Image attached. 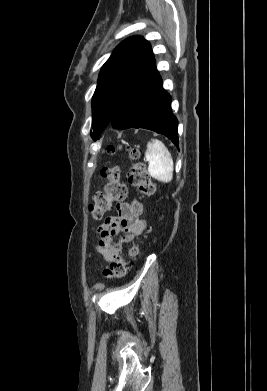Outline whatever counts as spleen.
I'll return each instance as SVG.
<instances>
[{
    "instance_id": "spleen-1",
    "label": "spleen",
    "mask_w": 267,
    "mask_h": 391,
    "mask_svg": "<svg viewBox=\"0 0 267 391\" xmlns=\"http://www.w3.org/2000/svg\"><path fill=\"white\" fill-rule=\"evenodd\" d=\"M149 163L148 172L154 179L169 183L173 178V159L166 146L157 139H151L147 143L145 152Z\"/></svg>"
}]
</instances>
